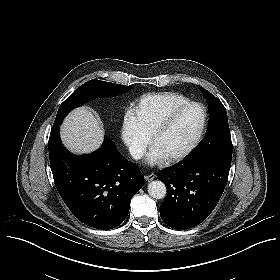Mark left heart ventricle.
<instances>
[{
	"instance_id": "obj_1",
	"label": "left heart ventricle",
	"mask_w": 280,
	"mask_h": 280,
	"mask_svg": "<svg viewBox=\"0 0 280 280\" xmlns=\"http://www.w3.org/2000/svg\"><path fill=\"white\" fill-rule=\"evenodd\" d=\"M197 124V113L189 114L164 132L156 144V149L164 155H172L177 152L195 131Z\"/></svg>"
}]
</instances>
